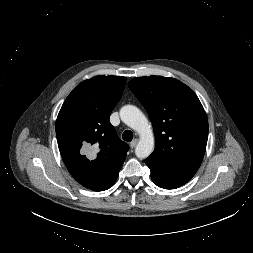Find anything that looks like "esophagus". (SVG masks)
Instances as JSON below:
<instances>
[{
    "label": "esophagus",
    "instance_id": "esophagus-1",
    "mask_svg": "<svg viewBox=\"0 0 253 253\" xmlns=\"http://www.w3.org/2000/svg\"><path fill=\"white\" fill-rule=\"evenodd\" d=\"M138 143V139H134L133 141L130 142V148L133 149L136 144Z\"/></svg>",
    "mask_w": 253,
    "mask_h": 253
}]
</instances>
